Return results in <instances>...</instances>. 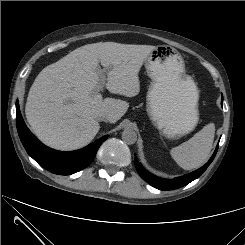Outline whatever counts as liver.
<instances>
[{"label":"liver","instance_id":"1","mask_svg":"<svg viewBox=\"0 0 245 245\" xmlns=\"http://www.w3.org/2000/svg\"><path fill=\"white\" fill-rule=\"evenodd\" d=\"M151 45L98 42L81 46L45 67L32 84L25 114L35 135L58 150H76L90 143L100 129L97 118L110 123L128 110L126 101L98 93L99 63L109 71L106 88L134 97L140 92L139 71Z\"/></svg>","mask_w":245,"mask_h":245}]
</instances>
